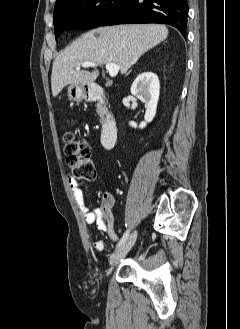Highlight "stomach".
Here are the masks:
<instances>
[{
	"mask_svg": "<svg viewBox=\"0 0 240 329\" xmlns=\"http://www.w3.org/2000/svg\"><path fill=\"white\" fill-rule=\"evenodd\" d=\"M68 97L72 101H81L86 98V89L80 85H70L68 87Z\"/></svg>",
	"mask_w": 240,
	"mask_h": 329,
	"instance_id": "1",
	"label": "stomach"
}]
</instances>
